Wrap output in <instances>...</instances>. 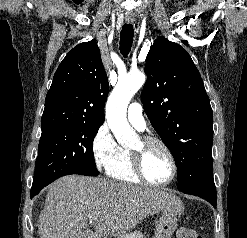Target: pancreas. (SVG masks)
Here are the masks:
<instances>
[{
    "label": "pancreas",
    "mask_w": 247,
    "mask_h": 238,
    "mask_svg": "<svg viewBox=\"0 0 247 238\" xmlns=\"http://www.w3.org/2000/svg\"><path fill=\"white\" fill-rule=\"evenodd\" d=\"M117 238H144L140 232L128 233L118 236Z\"/></svg>",
    "instance_id": "1"
}]
</instances>
